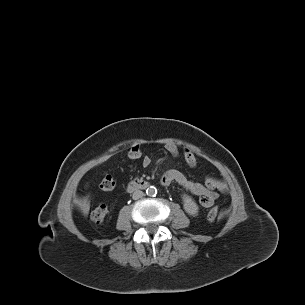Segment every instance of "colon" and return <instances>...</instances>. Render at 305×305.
<instances>
[{"instance_id":"obj_1","label":"colon","mask_w":305,"mask_h":305,"mask_svg":"<svg viewBox=\"0 0 305 305\" xmlns=\"http://www.w3.org/2000/svg\"><path fill=\"white\" fill-rule=\"evenodd\" d=\"M127 156L131 160H139L143 157V149L140 143L132 144L127 150ZM115 186V180L111 175H107L100 183V188L104 191H110ZM107 214L105 205H99L94 208L90 214L93 223L100 225L104 222ZM219 216V208L214 207L208 213V219L214 221Z\"/></svg>"}]
</instances>
